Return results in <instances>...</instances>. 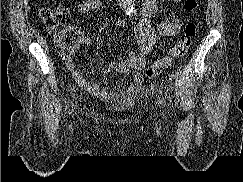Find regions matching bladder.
<instances>
[{
    "label": "bladder",
    "instance_id": "obj_1",
    "mask_svg": "<svg viewBox=\"0 0 243 182\" xmlns=\"http://www.w3.org/2000/svg\"><path fill=\"white\" fill-rule=\"evenodd\" d=\"M135 101L133 99L127 98L120 100L108 106V110L114 113H127L134 109Z\"/></svg>",
    "mask_w": 243,
    "mask_h": 182
}]
</instances>
